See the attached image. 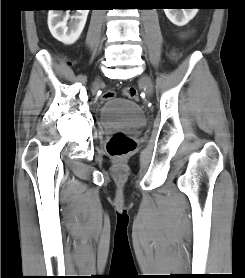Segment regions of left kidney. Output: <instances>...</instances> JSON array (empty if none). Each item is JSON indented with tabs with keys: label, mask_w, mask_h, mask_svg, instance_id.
Here are the masks:
<instances>
[{
	"label": "left kidney",
	"mask_w": 245,
	"mask_h": 278,
	"mask_svg": "<svg viewBox=\"0 0 245 278\" xmlns=\"http://www.w3.org/2000/svg\"><path fill=\"white\" fill-rule=\"evenodd\" d=\"M167 18L177 26L186 25L195 17L198 8L193 9H164Z\"/></svg>",
	"instance_id": "left-kidney-1"
}]
</instances>
